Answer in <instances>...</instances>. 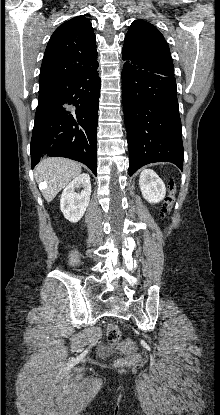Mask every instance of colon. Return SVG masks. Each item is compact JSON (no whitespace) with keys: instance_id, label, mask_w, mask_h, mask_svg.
Returning <instances> with one entry per match:
<instances>
[{"instance_id":"obj_1","label":"colon","mask_w":220,"mask_h":415,"mask_svg":"<svg viewBox=\"0 0 220 415\" xmlns=\"http://www.w3.org/2000/svg\"><path fill=\"white\" fill-rule=\"evenodd\" d=\"M175 191H176L175 183L172 179H170L168 181V195L166 197V201H165V204H164V213L165 214L169 213V211L171 210V208L174 204ZM107 335H108V339L111 342L116 343L119 346L121 345V343H120L121 333H120L117 325L115 324V322H110L108 324ZM137 361H138V357L134 354H131V355H127L123 358L118 359L116 361V364L119 367H127V366H131V365L135 364Z\"/></svg>"}]
</instances>
